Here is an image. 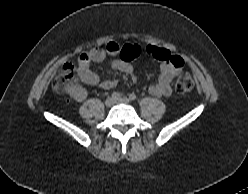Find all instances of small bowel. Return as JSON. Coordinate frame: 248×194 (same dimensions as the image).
I'll return each mask as SVG.
<instances>
[{
  "instance_id": "c3829d8e",
  "label": "small bowel",
  "mask_w": 248,
  "mask_h": 194,
  "mask_svg": "<svg viewBox=\"0 0 248 194\" xmlns=\"http://www.w3.org/2000/svg\"><path fill=\"white\" fill-rule=\"evenodd\" d=\"M142 49L137 44L118 45L114 42L108 43L102 48H93L88 52L80 55L77 62V72L81 81L90 86H99L102 89L109 90L116 86L115 79L101 80L100 77L90 69L92 63H100L107 56H116L111 63L113 70L123 72L125 74H133L134 67L131 61L139 57ZM146 53L149 57L161 62V73L156 83L149 86V93L153 96H170L172 93V83L176 76L182 71L184 61L180 56L172 55L165 49L149 45L146 48ZM71 96L78 102L83 101L87 92L81 86H76L70 91Z\"/></svg>"
}]
</instances>
